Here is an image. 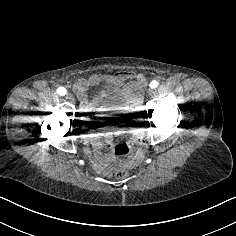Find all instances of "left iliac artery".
<instances>
[{
  "label": "left iliac artery",
  "mask_w": 236,
  "mask_h": 236,
  "mask_svg": "<svg viewBox=\"0 0 236 236\" xmlns=\"http://www.w3.org/2000/svg\"><path fill=\"white\" fill-rule=\"evenodd\" d=\"M159 85V83L156 81V80H153L151 83H150V87L153 89H155L157 86Z\"/></svg>",
  "instance_id": "1"
}]
</instances>
